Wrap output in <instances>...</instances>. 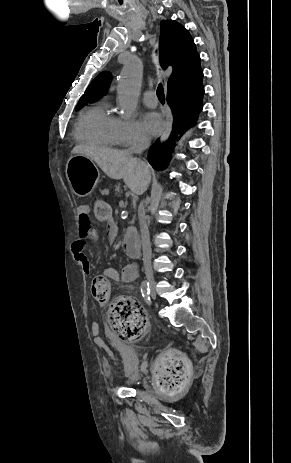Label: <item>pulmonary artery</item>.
<instances>
[{
	"instance_id": "1",
	"label": "pulmonary artery",
	"mask_w": 291,
	"mask_h": 463,
	"mask_svg": "<svg viewBox=\"0 0 291 463\" xmlns=\"http://www.w3.org/2000/svg\"><path fill=\"white\" fill-rule=\"evenodd\" d=\"M143 101L149 107H155L158 104L156 92L148 90L143 94Z\"/></svg>"
}]
</instances>
